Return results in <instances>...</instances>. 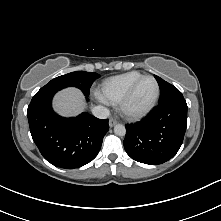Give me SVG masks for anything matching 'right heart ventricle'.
<instances>
[{
	"instance_id": "e07e8e85",
	"label": "right heart ventricle",
	"mask_w": 221,
	"mask_h": 221,
	"mask_svg": "<svg viewBox=\"0 0 221 221\" xmlns=\"http://www.w3.org/2000/svg\"><path fill=\"white\" fill-rule=\"evenodd\" d=\"M143 76L138 71H130L106 79L99 88V96L109 103H118L130 86Z\"/></svg>"
}]
</instances>
